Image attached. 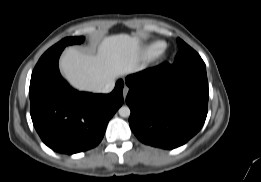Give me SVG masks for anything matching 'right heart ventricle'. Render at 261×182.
I'll list each match as a JSON object with an SVG mask.
<instances>
[{"instance_id":"e07e8e85","label":"right heart ventricle","mask_w":261,"mask_h":182,"mask_svg":"<svg viewBox=\"0 0 261 182\" xmlns=\"http://www.w3.org/2000/svg\"><path fill=\"white\" fill-rule=\"evenodd\" d=\"M165 46L163 41H153L144 47V54L148 58H154L164 51Z\"/></svg>"}]
</instances>
